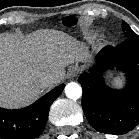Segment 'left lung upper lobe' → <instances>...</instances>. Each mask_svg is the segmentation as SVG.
I'll list each match as a JSON object with an SVG mask.
<instances>
[{"mask_svg": "<svg viewBox=\"0 0 139 139\" xmlns=\"http://www.w3.org/2000/svg\"><path fill=\"white\" fill-rule=\"evenodd\" d=\"M122 29L125 32V36L127 38L138 36L125 21L122 22Z\"/></svg>", "mask_w": 139, "mask_h": 139, "instance_id": "left-lung-upper-lobe-1", "label": "left lung upper lobe"}]
</instances>
